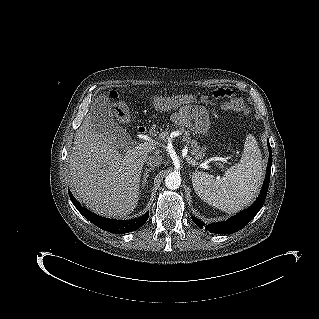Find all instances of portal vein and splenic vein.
Wrapping results in <instances>:
<instances>
[{"instance_id": "portal-vein-and-splenic-vein-1", "label": "portal vein and splenic vein", "mask_w": 319, "mask_h": 319, "mask_svg": "<svg viewBox=\"0 0 319 319\" xmlns=\"http://www.w3.org/2000/svg\"><path fill=\"white\" fill-rule=\"evenodd\" d=\"M166 133H162L161 136H165ZM153 149V144L149 143V142H144L141 144H138L137 146H135L132 150H131V154L134 156H138L144 153H148ZM187 161L191 164V165H199L201 166V168H207V163H198L195 160H193L192 158H186Z\"/></svg>"}]
</instances>
